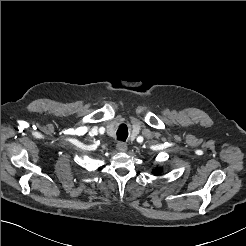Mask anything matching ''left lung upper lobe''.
I'll use <instances>...</instances> for the list:
<instances>
[{"label": "left lung upper lobe", "instance_id": "5c2ea615", "mask_svg": "<svg viewBox=\"0 0 246 246\" xmlns=\"http://www.w3.org/2000/svg\"><path fill=\"white\" fill-rule=\"evenodd\" d=\"M160 171L157 169V170H154V173L155 174H158Z\"/></svg>", "mask_w": 246, "mask_h": 246}]
</instances>
